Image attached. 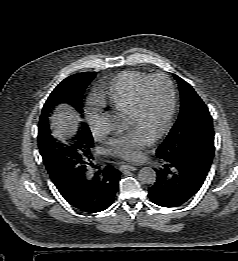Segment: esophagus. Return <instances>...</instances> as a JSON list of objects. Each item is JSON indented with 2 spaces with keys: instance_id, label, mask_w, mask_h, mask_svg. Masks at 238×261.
<instances>
[{
  "instance_id": "34e87169",
  "label": "esophagus",
  "mask_w": 238,
  "mask_h": 261,
  "mask_svg": "<svg viewBox=\"0 0 238 261\" xmlns=\"http://www.w3.org/2000/svg\"><path fill=\"white\" fill-rule=\"evenodd\" d=\"M137 169V167L132 166V165H128V164H123L120 166V170H131V171H135Z\"/></svg>"
}]
</instances>
